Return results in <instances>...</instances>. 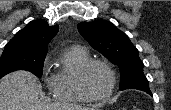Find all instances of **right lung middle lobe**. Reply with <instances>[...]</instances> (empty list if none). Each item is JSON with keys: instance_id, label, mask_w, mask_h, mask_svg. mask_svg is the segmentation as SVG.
<instances>
[{"instance_id": "dd1d6c3e", "label": "right lung middle lobe", "mask_w": 171, "mask_h": 110, "mask_svg": "<svg viewBox=\"0 0 171 110\" xmlns=\"http://www.w3.org/2000/svg\"><path fill=\"white\" fill-rule=\"evenodd\" d=\"M46 55L30 54L14 47H5L0 57V78L16 71L27 70L41 77Z\"/></svg>"}]
</instances>
